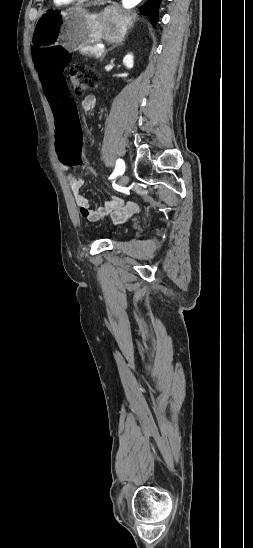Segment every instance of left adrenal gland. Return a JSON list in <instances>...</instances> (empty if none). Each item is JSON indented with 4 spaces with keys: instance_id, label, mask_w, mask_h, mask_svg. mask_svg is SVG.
Returning <instances> with one entry per match:
<instances>
[{
    "instance_id": "left-adrenal-gland-1",
    "label": "left adrenal gland",
    "mask_w": 253,
    "mask_h": 548,
    "mask_svg": "<svg viewBox=\"0 0 253 548\" xmlns=\"http://www.w3.org/2000/svg\"><path fill=\"white\" fill-rule=\"evenodd\" d=\"M119 45H121V43H120ZM115 47H116V45H114L113 47H111L110 49H108L107 51H105V53H104V55H103V57H102L101 60H103L104 57L106 56V54H107L110 50L114 49Z\"/></svg>"
}]
</instances>
